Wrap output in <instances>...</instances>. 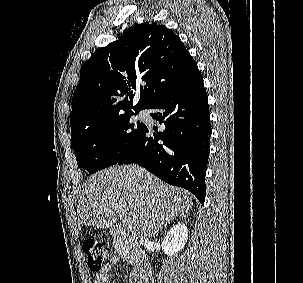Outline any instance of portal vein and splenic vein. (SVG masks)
<instances>
[{
    "instance_id": "18ae733b",
    "label": "portal vein and splenic vein",
    "mask_w": 303,
    "mask_h": 283,
    "mask_svg": "<svg viewBox=\"0 0 303 283\" xmlns=\"http://www.w3.org/2000/svg\"><path fill=\"white\" fill-rule=\"evenodd\" d=\"M122 223L124 224V225H126V226H130V218L129 217H127V216H124L123 218H122Z\"/></svg>"
}]
</instances>
